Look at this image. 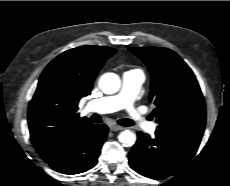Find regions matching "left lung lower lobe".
Listing matches in <instances>:
<instances>
[{"mask_svg": "<svg viewBox=\"0 0 230 186\" xmlns=\"http://www.w3.org/2000/svg\"><path fill=\"white\" fill-rule=\"evenodd\" d=\"M129 153V165L139 174L163 179L180 171L196 154L202 135L158 128L155 138L138 132Z\"/></svg>", "mask_w": 230, "mask_h": 186, "instance_id": "1", "label": "left lung lower lobe"}]
</instances>
